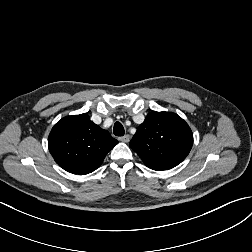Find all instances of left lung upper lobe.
I'll list each match as a JSON object with an SVG mask.
<instances>
[{"label": "left lung upper lobe", "instance_id": "left-lung-upper-lobe-1", "mask_svg": "<svg viewBox=\"0 0 252 252\" xmlns=\"http://www.w3.org/2000/svg\"><path fill=\"white\" fill-rule=\"evenodd\" d=\"M129 145L149 168L160 163L179 164L192 148L193 134L177 114L154 111L139 125Z\"/></svg>", "mask_w": 252, "mask_h": 252}]
</instances>
